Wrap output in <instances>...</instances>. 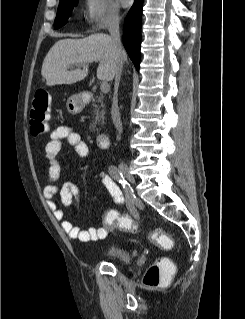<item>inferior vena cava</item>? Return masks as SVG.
<instances>
[{"instance_id":"1","label":"inferior vena cava","mask_w":245,"mask_h":319,"mask_svg":"<svg viewBox=\"0 0 245 319\" xmlns=\"http://www.w3.org/2000/svg\"><path fill=\"white\" fill-rule=\"evenodd\" d=\"M119 23L120 18L118 13H114L111 16L110 25H109V33L111 37V43L112 47L114 49L115 55H116V69H115V84H114V97H113V104L111 109V116L113 123L115 125V128L118 131V138H121V133L123 132L121 117H120V111L118 107V87L119 82L121 78L122 73V55L124 54V51L122 50V44L120 39V31H119Z\"/></svg>"}]
</instances>
